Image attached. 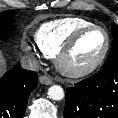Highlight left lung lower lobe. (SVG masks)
<instances>
[{
  "instance_id": "obj_1",
  "label": "left lung lower lobe",
  "mask_w": 118,
  "mask_h": 118,
  "mask_svg": "<svg viewBox=\"0 0 118 118\" xmlns=\"http://www.w3.org/2000/svg\"><path fill=\"white\" fill-rule=\"evenodd\" d=\"M64 118H118V64L69 87Z\"/></svg>"
}]
</instances>
